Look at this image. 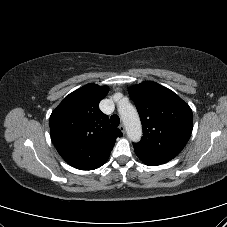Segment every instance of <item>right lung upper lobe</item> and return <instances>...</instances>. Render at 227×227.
Segmentation results:
<instances>
[{"label": "right lung upper lobe", "mask_w": 227, "mask_h": 227, "mask_svg": "<svg viewBox=\"0 0 227 227\" xmlns=\"http://www.w3.org/2000/svg\"><path fill=\"white\" fill-rule=\"evenodd\" d=\"M109 88L93 83L69 94L50 116V134L61 157L80 170L99 168L122 132L98 108Z\"/></svg>", "instance_id": "cb5924a9"}]
</instances>
